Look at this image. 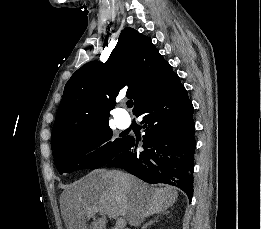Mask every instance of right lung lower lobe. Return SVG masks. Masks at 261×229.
Returning a JSON list of instances; mask_svg holds the SVG:
<instances>
[{"instance_id":"right-lung-lower-lobe-1","label":"right lung lower lobe","mask_w":261,"mask_h":229,"mask_svg":"<svg viewBox=\"0 0 261 229\" xmlns=\"http://www.w3.org/2000/svg\"><path fill=\"white\" fill-rule=\"evenodd\" d=\"M193 105L178 75L157 96L140 106L144 151L129 138L122 151L106 164L127 170L148 183L180 188L191 201L196 141ZM138 143V142H137Z\"/></svg>"}]
</instances>
